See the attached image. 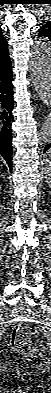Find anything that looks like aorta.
I'll return each instance as SVG.
<instances>
[{"mask_svg":"<svg viewBox=\"0 0 51 393\" xmlns=\"http://www.w3.org/2000/svg\"><path fill=\"white\" fill-rule=\"evenodd\" d=\"M31 80L39 98L49 107L51 100V43L47 38L37 40L30 59ZM41 139H51V120L47 118L41 127Z\"/></svg>","mask_w":51,"mask_h":393,"instance_id":"762f6f07","label":"aorta"}]
</instances>
